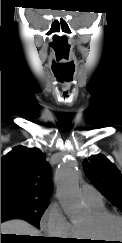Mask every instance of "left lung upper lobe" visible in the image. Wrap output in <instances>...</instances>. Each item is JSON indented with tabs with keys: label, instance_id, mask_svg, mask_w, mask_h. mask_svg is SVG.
<instances>
[{
	"label": "left lung upper lobe",
	"instance_id": "5c2ea615",
	"mask_svg": "<svg viewBox=\"0 0 122 243\" xmlns=\"http://www.w3.org/2000/svg\"><path fill=\"white\" fill-rule=\"evenodd\" d=\"M86 176L113 205L122 211V174L104 155H92L82 163Z\"/></svg>",
	"mask_w": 122,
	"mask_h": 243
}]
</instances>
